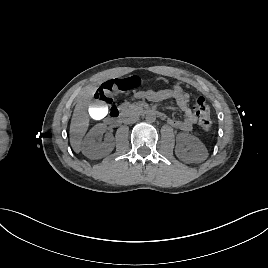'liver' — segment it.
<instances>
[{
	"mask_svg": "<svg viewBox=\"0 0 268 268\" xmlns=\"http://www.w3.org/2000/svg\"><path fill=\"white\" fill-rule=\"evenodd\" d=\"M97 86H88L77 99L70 124V144L76 153L80 152L81 140L89 127L88 107L92 105V97Z\"/></svg>",
	"mask_w": 268,
	"mask_h": 268,
	"instance_id": "obj_1",
	"label": "liver"
}]
</instances>
